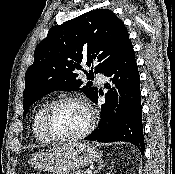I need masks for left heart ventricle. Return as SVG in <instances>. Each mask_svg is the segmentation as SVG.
<instances>
[{"mask_svg":"<svg viewBox=\"0 0 175 174\" xmlns=\"http://www.w3.org/2000/svg\"><path fill=\"white\" fill-rule=\"evenodd\" d=\"M88 123L84 108L75 103L60 106L52 117V127L61 136H73L85 129Z\"/></svg>","mask_w":175,"mask_h":174,"instance_id":"left-heart-ventricle-1","label":"left heart ventricle"}]
</instances>
